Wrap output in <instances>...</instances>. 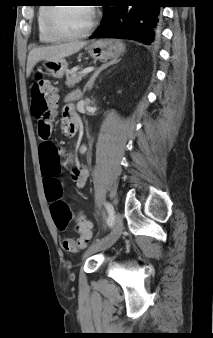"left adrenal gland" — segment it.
<instances>
[{"label": "left adrenal gland", "instance_id": "1", "mask_svg": "<svg viewBox=\"0 0 213 338\" xmlns=\"http://www.w3.org/2000/svg\"><path fill=\"white\" fill-rule=\"evenodd\" d=\"M119 61H120V59L111 60L110 62L102 64L98 69H96L95 72L91 75V77H90V79H89V81L86 85L88 90L92 89L94 82H95L96 78L98 77V75L100 74L101 71H103L104 69H106L110 65L118 63Z\"/></svg>", "mask_w": 213, "mask_h": 338}]
</instances>
